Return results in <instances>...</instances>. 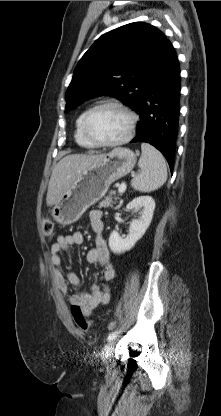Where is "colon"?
Masks as SVG:
<instances>
[{"label":"colon","instance_id":"5ec220e1","mask_svg":"<svg viewBox=\"0 0 221 416\" xmlns=\"http://www.w3.org/2000/svg\"><path fill=\"white\" fill-rule=\"evenodd\" d=\"M43 233L45 236L50 237L53 234L54 225L51 219H45L42 224ZM71 314L75 320V323L82 331H88L91 327L89 320L85 317L81 308L78 305L71 307Z\"/></svg>","mask_w":221,"mask_h":416}]
</instances>
